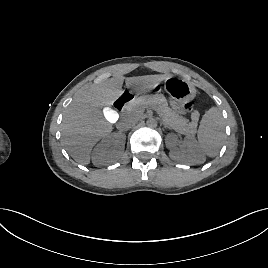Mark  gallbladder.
I'll return each mask as SVG.
<instances>
[{
	"mask_svg": "<svg viewBox=\"0 0 268 268\" xmlns=\"http://www.w3.org/2000/svg\"><path fill=\"white\" fill-rule=\"evenodd\" d=\"M102 116L111 124H117L121 120V115L118 110L111 105H105L101 109Z\"/></svg>",
	"mask_w": 268,
	"mask_h": 268,
	"instance_id": "obj_1",
	"label": "gallbladder"
}]
</instances>
